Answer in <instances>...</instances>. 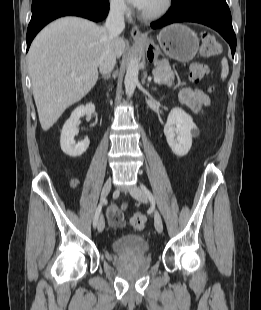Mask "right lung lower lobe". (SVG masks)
<instances>
[{"label":"right lung lower lobe","mask_w":261,"mask_h":310,"mask_svg":"<svg viewBox=\"0 0 261 310\" xmlns=\"http://www.w3.org/2000/svg\"><path fill=\"white\" fill-rule=\"evenodd\" d=\"M32 17L27 29V50L36 34L52 20L75 15L93 21L104 19L109 11L108 0H33Z\"/></svg>","instance_id":"obj_1"}]
</instances>
